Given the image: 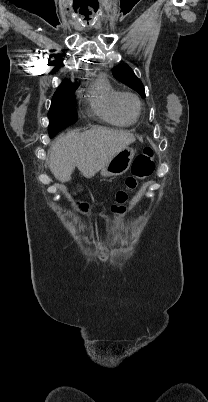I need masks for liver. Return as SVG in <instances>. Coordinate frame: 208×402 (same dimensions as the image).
I'll list each match as a JSON object with an SVG mask.
<instances>
[{"label":"liver","mask_w":208,"mask_h":402,"mask_svg":"<svg viewBox=\"0 0 208 402\" xmlns=\"http://www.w3.org/2000/svg\"><path fill=\"white\" fill-rule=\"evenodd\" d=\"M135 140L130 132L109 128L61 134L49 150V168L59 182H69L76 166L85 178H93L115 154Z\"/></svg>","instance_id":"obj_1"}]
</instances>
